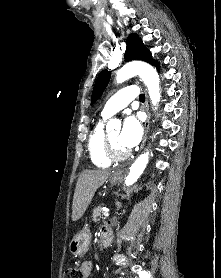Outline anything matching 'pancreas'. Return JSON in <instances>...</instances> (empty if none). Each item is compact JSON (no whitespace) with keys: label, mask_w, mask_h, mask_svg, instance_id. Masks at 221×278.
Returning a JSON list of instances; mask_svg holds the SVG:
<instances>
[{"label":"pancreas","mask_w":221,"mask_h":278,"mask_svg":"<svg viewBox=\"0 0 221 278\" xmlns=\"http://www.w3.org/2000/svg\"><path fill=\"white\" fill-rule=\"evenodd\" d=\"M103 213H104V211H103L102 207H100V206L96 207V208L94 209L93 215H92L93 220H94V221H99L100 219H105V218L103 217Z\"/></svg>","instance_id":"pancreas-1"}]
</instances>
